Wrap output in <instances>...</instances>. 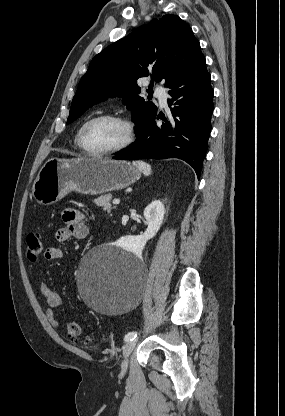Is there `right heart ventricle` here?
<instances>
[{"instance_id":"right-heart-ventricle-1","label":"right heart ventricle","mask_w":285,"mask_h":416,"mask_svg":"<svg viewBox=\"0 0 285 416\" xmlns=\"http://www.w3.org/2000/svg\"><path fill=\"white\" fill-rule=\"evenodd\" d=\"M75 143H76V145L79 147V145H78V134L76 135V137H75ZM80 148V147H79Z\"/></svg>"}]
</instances>
